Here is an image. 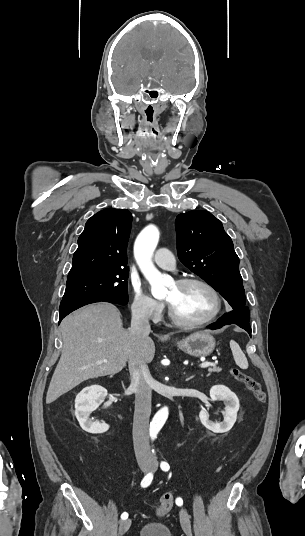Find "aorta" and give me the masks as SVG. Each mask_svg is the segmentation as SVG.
Segmentation results:
<instances>
[{"instance_id": "762f6f07", "label": "aorta", "mask_w": 305, "mask_h": 536, "mask_svg": "<svg viewBox=\"0 0 305 536\" xmlns=\"http://www.w3.org/2000/svg\"><path fill=\"white\" fill-rule=\"evenodd\" d=\"M159 241V230L155 226L144 228L134 244L136 262L151 285V293L155 298L165 297L170 279L162 275L154 266L152 256ZM168 408H161L153 417L152 428L159 430L168 418Z\"/></svg>"}]
</instances>
